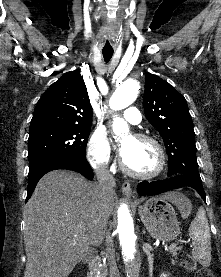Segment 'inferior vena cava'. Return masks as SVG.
<instances>
[{
    "mask_svg": "<svg viewBox=\"0 0 221 277\" xmlns=\"http://www.w3.org/2000/svg\"><path fill=\"white\" fill-rule=\"evenodd\" d=\"M96 176L98 181V194L103 207L105 208L107 200L114 193L116 182L113 175L109 172L107 165L100 166L96 170ZM104 238L106 243L105 253L109 264L110 277H120L115 260L114 250L108 238L107 228H105L104 231Z\"/></svg>",
    "mask_w": 221,
    "mask_h": 277,
    "instance_id": "1",
    "label": "inferior vena cava"
}]
</instances>
